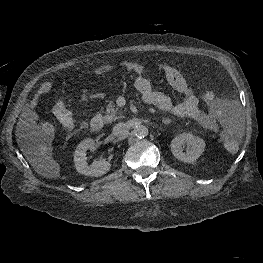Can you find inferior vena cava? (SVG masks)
I'll return each instance as SVG.
<instances>
[{
	"label": "inferior vena cava",
	"mask_w": 263,
	"mask_h": 263,
	"mask_svg": "<svg viewBox=\"0 0 263 263\" xmlns=\"http://www.w3.org/2000/svg\"><path fill=\"white\" fill-rule=\"evenodd\" d=\"M129 131V127L126 123H118L113 127V135L116 137H123Z\"/></svg>",
	"instance_id": "obj_1"
}]
</instances>
